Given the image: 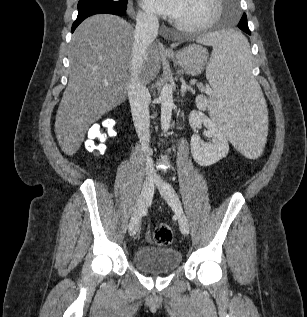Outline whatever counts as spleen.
<instances>
[{
	"label": "spleen",
	"instance_id": "obj_1",
	"mask_svg": "<svg viewBox=\"0 0 307 317\" xmlns=\"http://www.w3.org/2000/svg\"><path fill=\"white\" fill-rule=\"evenodd\" d=\"M199 44L213 47L206 68L213 91L210 117L236 146L238 155L256 160L263 155L270 122H266L261 88L250 72L249 43L240 29H215L202 33Z\"/></svg>",
	"mask_w": 307,
	"mask_h": 317
}]
</instances>
